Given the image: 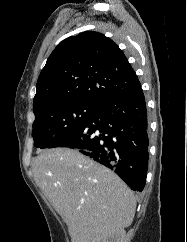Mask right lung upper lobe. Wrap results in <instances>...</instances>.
<instances>
[{
    "instance_id": "cb5924a9",
    "label": "right lung upper lobe",
    "mask_w": 187,
    "mask_h": 242,
    "mask_svg": "<svg viewBox=\"0 0 187 242\" xmlns=\"http://www.w3.org/2000/svg\"><path fill=\"white\" fill-rule=\"evenodd\" d=\"M140 86L122 50L103 34L86 31L51 53L37 81L33 112L72 102L101 105Z\"/></svg>"
}]
</instances>
